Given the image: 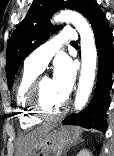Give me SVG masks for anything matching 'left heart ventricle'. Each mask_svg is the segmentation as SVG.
<instances>
[{"mask_svg": "<svg viewBox=\"0 0 114 156\" xmlns=\"http://www.w3.org/2000/svg\"><path fill=\"white\" fill-rule=\"evenodd\" d=\"M41 89L44 107L49 111L59 109L65 99L62 98L55 90L52 79L45 77L42 80Z\"/></svg>", "mask_w": 114, "mask_h": 156, "instance_id": "1", "label": "left heart ventricle"}]
</instances>
